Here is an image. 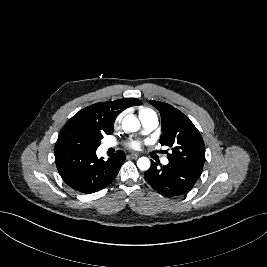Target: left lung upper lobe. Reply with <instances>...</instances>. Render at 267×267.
<instances>
[{"mask_svg": "<svg viewBox=\"0 0 267 267\" xmlns=\"http://www.w3.org/2000/svg\"><path fill=\"white\" fill-rule=\"evenodd\" d=\"M162 118L161 145L172 148L167 154L169 162L184 164L202 170L205 161V146L197 128L181 111L159 101H150Z\"/></svg>", "mask_w": 267, "mask_h": 267, "instance_id": "1", "label": "left lung upper lobe"}]
</instances>
